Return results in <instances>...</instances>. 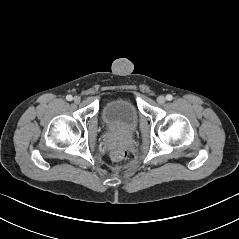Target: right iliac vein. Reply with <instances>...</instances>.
Here are the masks:
<instances>
[{
    "mask_svg": "<svg viewBox=\"0 0 239 239\" xmlns=\"http://www.w3.org/2000/svg\"><path fill=\"white\" fill-rule=\"evenodd\" d=\"M73 101L78 104V103H80L81 98H80L79 96H75V97L73 98Z\"/></svg>",
    "mask_w": 239,
    "mask_h": 239,
    "instance_id": "obj_1",
    "label": "right iliac vein"
}]
</instances>
